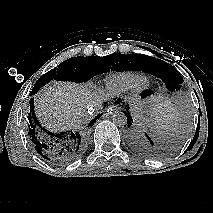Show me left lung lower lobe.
<instances>
[{
  "instance_id": "1",
  "label": "left lung lower lobe",
  "mask_w": 213,
  "mask_h": 213,
  "mask_svg": "<svg viewBox=\"0 0 213 213\" xmlns=\"http://www.w3.org/2000/svg\"><path fill=\"white\" fill-rule=\"evenodd\" d=\"M166 87L169 90H172V87L166 83ZM145 93H150V91L146 90ZM129 110V107L126 108ZM124 113L127 116V126L131 127L133 123V119L130 114ZM126 127V125H125ZM128 141L131 147L140 155L149 158H157L161 155L162 150L158 147V145L153 141L151 136L146 132H142L138 129H133L129 132Z\"/></svg>"
}]
</instances>
